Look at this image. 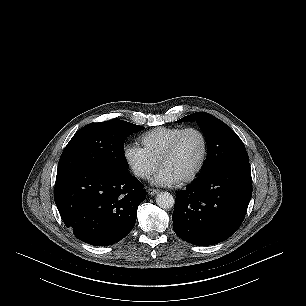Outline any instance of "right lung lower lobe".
Instances as JSON below:
<instances>
[{
  "mask_svg": "<svg viewBox=\"0 0 306 306\" xmlns=\"http://www.w3.org/2000/svg\"><path fill=\"white\" fill-rule=\"evenodd\" d=\"M144 185L128 170L85 168L56 178L54 200L66 227L94 246L119 242L134 227Z\"/></svg>",
  "mask_w": 306,
  "mask_h": 306,
  "instance_id": "98d812e1",
  "label": "right lung lower lobe"
}]
</instances>
